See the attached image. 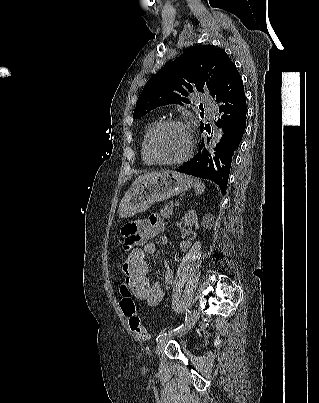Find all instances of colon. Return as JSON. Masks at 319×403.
Here are the masks:
<instances>
[{"mask_svg": "<svg viewBox=\"0 0 319 403\" xmlns=\"http://www.w3.org/2000/svg\"><path fill=\"white\" fill-rule=\"evenodd\" d=\"M139 245L129 249H122V269L125 284L120 288V296L117 303L120 305L121 315L128 325L130 336H135L139 340H146L148 334L143 327L137 309L143 308L142 300H150L153 293V276L150 275L147 259L143 258V249H138ZM135 292V303L132 296H127L129 292ZM122 295V296H121Z\"/></svg>", "mask_w": 319, "mask_h": 403, "instance_id": "obj_1", "label": "colon"}]
</instances>
